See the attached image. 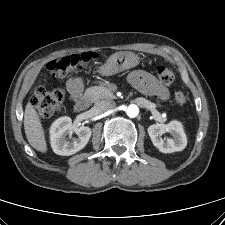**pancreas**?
Returning a JSON list of instances; mask_svg holds the SVG:
<instances>
[{
    "label": "pancreas",
    "instance_id": "pancreas-1",
    "mask_svg": "<svg viewBox=\"0 0 225 225\" xmlns=\"http://www.w3.org/2000/svg\"><path fill=\"white\" fill-rule=\"evenodd\" d=\"M86 95L93 98L94 100L102 99V98H109L113 99L114 95L110 91V89L104 86H93L86 90ZM159 105V104H158ZM160 106V105H159Z\"/></svg>",
    "mask_w": 225,
    "mask_h": 225
}]
</instances>
